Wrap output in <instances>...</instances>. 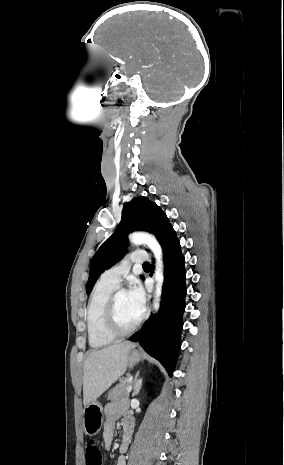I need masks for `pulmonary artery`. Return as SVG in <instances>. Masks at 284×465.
Here are the masks:
<instances>
[{
	"label": "pulmonary artery",
	"instance_id": "obj_1",
	"mask_svg": "<svg viewBox=\"0 0 284 465\" xmlns=\"http://www.w3.org/2000/svg\"><path fill=\"white\" fill-rule=\"evenodd\" d=\"M149 257L147 250H133L132 256L125 254L123 256V263L106 270L100 277V280L115 286H118L123 277L127 274L130 268V262L133 263H146Z\"/></svg>",
	"mask_w": 284,
	"mask_h": 465
}]
</instances>
